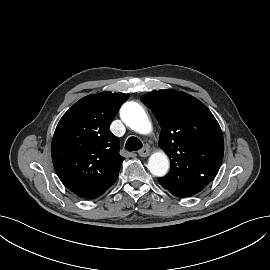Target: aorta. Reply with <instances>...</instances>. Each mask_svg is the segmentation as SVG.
<instances>
[{
    "instance_id": "aorta-1",
    "label": "aorta",
    "mask_w": 270,
    "mask_h": 270,
    "mask_svg": "<svg viewBox=\"0 0 270 270\" xmlns=\"http://www.w3.org/2000/svg\"><path fill=\"white\" fill-rule=\"evenodd\" d=\"M120 117L122 121L135 132L148 134L152 130V124L143 109V107L134 102H126L121 110ZM149 171L157 177H162L169 170V160L163 151L153 153L148 161Z\"/></svg>"
}]
</instances>
